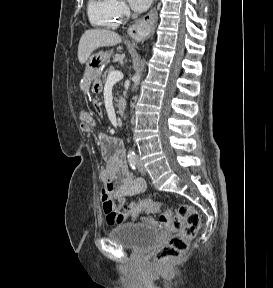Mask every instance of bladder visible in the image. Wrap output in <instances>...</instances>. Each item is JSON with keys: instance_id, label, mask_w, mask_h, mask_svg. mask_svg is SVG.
I'll use <instances>...</instances> for the list:
<instances>
[{"instance_id": "obj_1", "label": "bladder", "mask_w": 273, "mask_h": 288, "mask_svg": "<svg viewBox=\"0 0 273 288\" xmlns=\"http://www.w3.org/2000/svg\"><path fill=\"white\" fill-rule=\"evenodd\" d=\"M109 237L125 248L144 252L158 242L160 231L153 225L126 223L114 227Z\"/></svg>"}]
</instances>
